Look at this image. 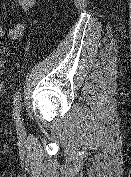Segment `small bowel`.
<instances>
[{"label":"small bowel","mask_w":131,"mask_h":177,"mask_svg":"<svg viewBox=\"0 0 131 177\" xmlns=\"http://www.w3.org/2000/svg\"><path fill=\"white\" fill-rule=\"evenodd\" d=\"M37 0H18V3L24 13V20L15 24L10 29H5L0 26V39L8 38L11 40H16L21 38L27 28V25L31 22L33 14L31 10L35 7Z\"/></svg>","instance_id":"1"}]
</instances>
